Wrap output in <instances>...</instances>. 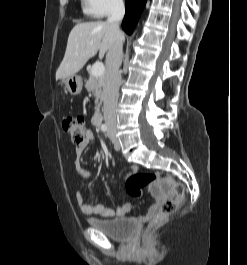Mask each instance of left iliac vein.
<instances>
[{"mask_svg":"<svg viewBox=\"0 0 247 265\" xmlns=\"http://www.w3.org/2000/svg\"><path fill=\"white\" fill-rule=\"evenodd\" d=\"M108 135L109 137L113 140L114 142V148L115 150L119 151L120 148H121V145H120V142H119V139L115 136V132L113 129H109L108 131Z\"/></svg>","mask_w":247,"mask_h":265,"instance_id":"1","label":"left iliac vein"}]
</instances>
